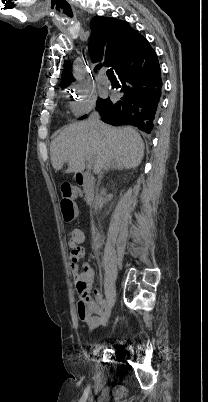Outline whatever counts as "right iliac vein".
I'll list each match as a JSON object with an SVG mask.
<instances>
[{"label":"right iliac vein","mask_w":208,"mask_h":402,"mask_svg":"<svg viewBox=\"0 0 208 402\" xmlns=\"http://www.w3.org/2000/svg\"><path fill=\"white\" fill-rule=\"evenodd\" d=\"M110 315H111V307L108 306L107 309H106V312H105V322L108 321Z\"/></svg>","instance_id":"63e3f726"}]
</instances>
